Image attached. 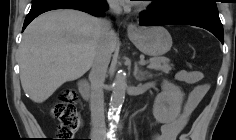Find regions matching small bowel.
I'll return each mask as SVG.
<instances>
[{
    "label": "small bowel",
    "mask_w": 236,
    "mask_h": 140,
    "mask_svg": "<svg viewBox=\"0 0 236 140\" xmlns=\"http://www.w3.org/2000/svg\"><path fill=\"white\" fill-rule=\"evenodd\" d=\"M177 79L186 84H195V87L190 92L181 114L174 120L163 124L160 132L154 136L153 140H177L190 115L209 89L208 84L202 83L203 73L200 71L181 70L177 73Z\"/></svg>",
    "instance_id": "obj_1"
}]
</instances>
